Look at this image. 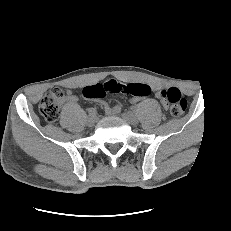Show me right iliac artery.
Masks as SVG:
<instances>
[{"label": "right iliac artery", "mask_w": 231, "mask_h": 231, "mask_svg": "<svg viewBox=\"0 0 231 231\" xmlns=\"http://www.w3.org/2000/svg\"><path fill=\"white\" fill-rule=\"evenodd\" d=\"M88 113H89V115H96L97 111L95 108H89Z\"/></svg>", "instance_id": "right-iliac-artery-1"}]
</instances>
